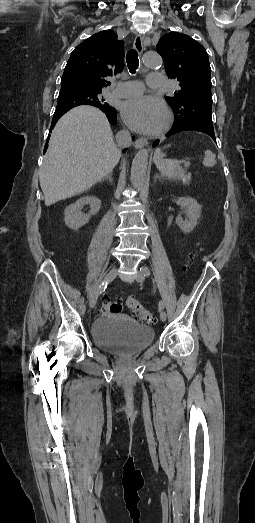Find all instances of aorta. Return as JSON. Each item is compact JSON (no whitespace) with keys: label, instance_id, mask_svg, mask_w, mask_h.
I'll return each instance as SVG.
<instances>
[{"label":"aorta","instance_id":"1","mask_svg":"<svg viewBox=\"0 0 255 523\" xmlns=\"http://www.w3.org/2000/svg\"><path fill=\"white\" fill-rule=\"evenodd\" d=\"M143 63L148 68H159L162 65V58L156 52H146L143 56ZM148 150L143 148L135 155L131 167V183L135 189H141L146 181Z\"/></svg>","mask_w":255,"mask_h":523}]
</instances>
